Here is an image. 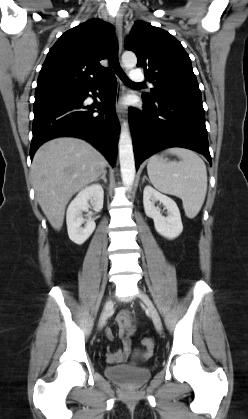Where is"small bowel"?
Masks as SVG:
<instances>
[{
  "instance_id": "obj_1",
  "label": "small bowel",
  "mask_w": 248,
  "mask_h": 419,
  "mask_svg": "<svg viewBox=\"0 0 248 419\" xmlns=\"http://www.w3.org/2000/svg\"><path fill=\"white\" fill-rule=\"evenodd\" d=\"M117 323L119 327L118 334L122 341V348L107 354V361L110 363L125 361L133 349L131 336L135 331V325L131 320L130 313L128 311H121L117 315ZM106 337L109 340H113L114 335L110 329L106 331Z\"/></svg>"
}]
</instances>
